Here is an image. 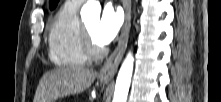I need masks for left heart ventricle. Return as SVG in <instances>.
Masks as SVG:
<instances>
[{
  "instance_id": "b2bd125f",
  "label": "left heart ventricle",
  "mask_w": 221,
  "mask_h": 102,
  "mask_svg": "<svg viewBox=\"0 0 221 102\" xmlns=\"http://www.w3.org/2000/svg\"><path fill=\"white\" fill-rule=\"evenodd\" d=\"M97 24H98V20H96V19L85 23L86 28L88 29L89 33L91 34V36L95 42H97L95 39V36H94Z\"/></svg>"
}]
</instances>
